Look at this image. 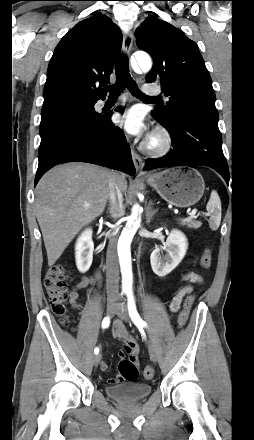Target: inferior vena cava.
Returning <instances> with one entry per match:
<instances>
[{"label":"inferior vena cava","instance_id":"obj_1","mask_svg":"<svg viewBox=\"0 0 254 440\" xmlns=\"http://www.w3.org/2000/svg\"><path fill=\"white\" fill-rule=\"evenodd\" d=\"M109 210L114 219H118L124 214L123 195L116 181L115 176L109 183ZM119 227L112 229L106 255V289L108 295H118L119 293V265L117 257V233Z\"/></svg>","mask_w":254,"mask_h":440}]
</instances>
